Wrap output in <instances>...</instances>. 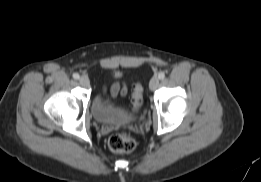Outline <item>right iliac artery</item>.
<instances>
[{
	"mask_svg": "<svg viewBox=\"0 0 261 182\" xmlns=\"http://www.w3.org/2000/svg\"><path fill=\"white\" fill-rule=\"evenodd\" d=\"M79 77H80V76H79L78 73H74V74H73V78H74V79H79Z\"/></svg>",
	"mask_w": 261,
	"mask_h": 182,
	"instance_id": "1",
	"label": "right iliac artery"
}]
</instances>
